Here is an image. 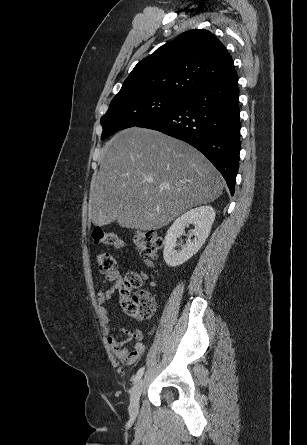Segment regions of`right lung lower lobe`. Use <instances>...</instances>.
Here are the masks:
<instances>
[{
  "label": "right lung lower lobe",
  "instance_id": "right-lung-lower-lobe-1",
  "mask_svg": "<svg viewBox=\"0 0 307 445\" xmlns=\"http://www.w3.org/2000/svg\"><path fill=\"white\" fill-rule=\"evenodd\" d=\"M237 82L234 70L185 96L172 110L137 126L160 131L197 148L223 175L231 195L240 152Z\"/></svg>",
  "mask_w": 307,
  "mask_h": 445
}]
</instances>
